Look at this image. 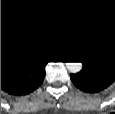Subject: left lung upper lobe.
<instances>
[{"label":"left lung upper lobe","instance_id":"left-lung-upper-lobe-1","mask_svg":"<svg viewBox=\"0 0 115 114\" xmlns=\"http://www.w3.org/2000/svg\"><path fill=\"white\" fill-rule=\"evenodd\" d=\"M81 62L115 73V32L103 36L95 48L81 58Z\"/></svg>","mask_w":115,"mask_h":114}]
</instances>
